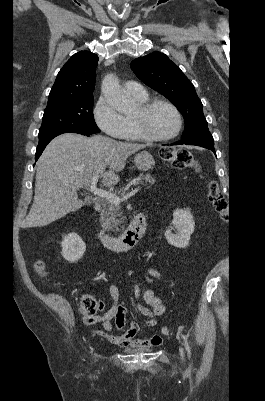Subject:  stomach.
Masks as SVG:
<instances>
[{"label":"stomach","instance_id":"obj_1","mask_svg":"<svg viewBox=\"0 0 265 401\" xmlns=\"http://www.w3.org/2000/svg\"><path fill=\"white\" fill-rule=\"evenodd\" d=\"M134 162L140 170H149V168H152L155 164V160L148 150H141V152H138V154L134 156Z\"/></svg>","mask_w":265,"mask_h":401}]
</instances>
